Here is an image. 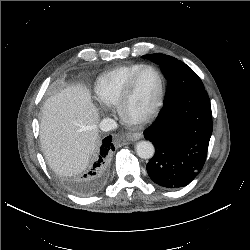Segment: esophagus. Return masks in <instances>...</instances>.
I'll return each instance as SVG.
<instances>
[{"label":"esophagus","mask_w":250,"mask_h":250,"mask_svg":"<svg viewBox=\"0 0 250 250\" xmlns=\"http://www.w3.org/2000/svg\"><path fill=\"white\" fill-rule=\"evenodd\" d=\"M142 137V134L141 133H128L126 135V138L129 140V141H136L138 139H140Z\"/></svg>","instance_id":"1"}]
</instances>
